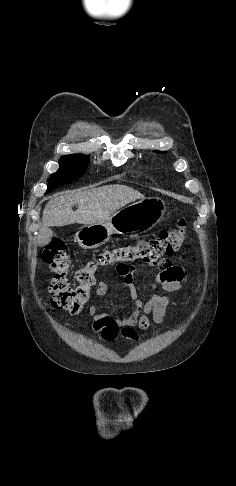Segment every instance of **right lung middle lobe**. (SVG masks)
Instances as JSON below:
<instances>
[{
    "label": "right lung middle lobe",
    "mask_w": 236,
    "mask_h": 486,
    "mask_svg": "<svg viewBox=\"0 0 236 486\" xmlns=\"http://www.w3.org/2000/svg\"><path fill=\"white\" fill-rule=\"evenodd\" d=\"M59 164L60 168L49 179L46 193L51 192L60 185L77 180L83 174L88 164V158L82 154L65 155L61 157Z\"/></svg>",
    "instance_id": "dd1d6c3e"
}]
</instances>
